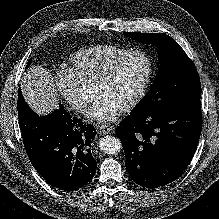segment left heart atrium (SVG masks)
Segmentation results:
<instances>
[{"mask_svg":"<svg viewBox=\"0 0 219 219\" xmlns=\"http://www.w3.org/2000/svg\"><path fill=\"white\" fill-rule=\"evenodd\" d=\"M119 111V106L109 98L98 96L94 105L89 110L88 116L97 121L107 122L115 119Z\"/></svg>","mask_w":219,"mask_h":219,"instance_id":"1","label":"left heart atrium"}]
</instances>
